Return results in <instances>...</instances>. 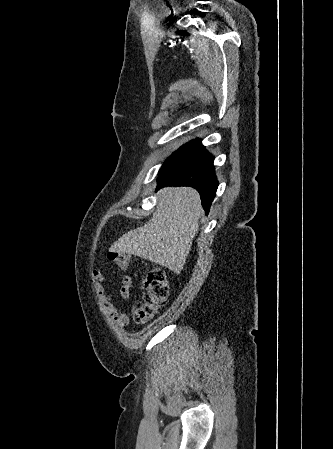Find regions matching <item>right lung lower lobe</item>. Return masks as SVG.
<instances>
[{
  "label": "right lung lower lobe",
  "mask_w": 333,
  "mask_h": 449,
  "mask_svg": "<svg viewBox=\"0 0 333 449\" xmlns=\"http://www.w3.org/2000/svg\"><path fill=\"white\" fill-rule=\"evenodd\" d=\"M214 157L206 151L201 140L191 141L177 151L160 169L157 189L165 186H190L198 190L206 212L216 195Z\"/></svg>",
  "instance_id": "1"
}]
</instances>
